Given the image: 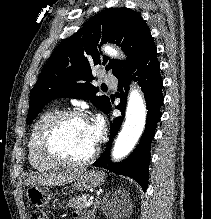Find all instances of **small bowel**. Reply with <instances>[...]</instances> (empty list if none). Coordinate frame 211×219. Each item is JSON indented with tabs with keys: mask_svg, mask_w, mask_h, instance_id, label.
<instances>
[{
	"mask_svg": "<svg viewBox=\"0 0 211 219\" xmlns=\"http://www.w3.org/2000/svg\"><path fill=\"white\" fill-rule=\"evenodd\" d=\"M74 219H89L88 216L80 211L74 212Z\"/></svg>",
	"mask_w": 211,
	"mask_h": 219,
	"instance_id": "obj_1",
	"label": "small bowel"
}]
</instances>
